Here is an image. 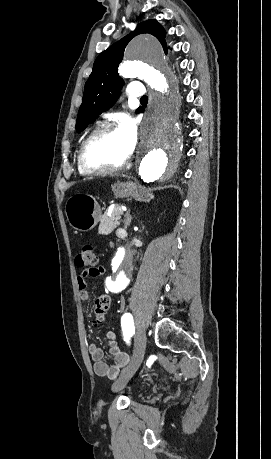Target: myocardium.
I'll return each mask as SVG.
<instances>
[{"instance_id": "1", "label": "myocardium", "mask_w": 271, "mask_h": 459, "mask_svg": "<svg viewBox=\"0 0 271 459\" xmlns=\"http://www.w3.org/2000/svg\"><path fill=\"white\" fill-rule=\"evenodd\" d=\"M117 130H119V128L116 123H108L95 129L93 132L86 136V138L82 141L80 145L78 153L79 162L84 170L90 173L116 171L121 169L129 161L132 155L131 152L124 158L113 162H94L89 158L88 150L90 145L99 137L114 133Z\"/></svg>"}]
</instances>
